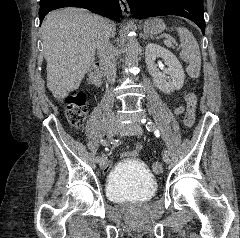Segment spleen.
Returning a JSON list of instances; mask_svg holds the SVG:
<instances>
[{
  "mask_svg": "<svg viewBox=\"0 0 240 238\" xmlns=\"http://www.w3.org/2000/svg\"><path fill=\"white\" fill-rule=\"evenodd\" d=\"M177 31L180 36L182 55L188 63L186 72L191 78H197L201 69V55L198 42L188 29L179 27Z\"/></svg>",
  "mask_w": 240,
  "mask_h": 238,
  "instance_id": "3e777b00",
  "label": "spleen"
}]
</instances>
